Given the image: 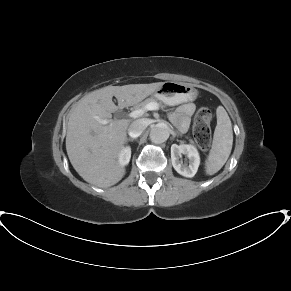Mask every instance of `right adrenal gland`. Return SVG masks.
Instances as JSON below:
<instances>
[{
	"mask_svg": "<svg viewBox=\"0 0 291 291\" xmlns=\"http://www.w3.org/2000/svg\"><path fill=\"white\" fill-rule=\"evenodd\" d=\"M135 140H136V139H134V138H128V139H127V142H129V141H130V142H133V141H135Z\"/></svg>",
	"mask_w": 291,
	"mask_h": 291,
	"instance_id": "1",
	"label": "right adrenal gland"
}]
</instances>
